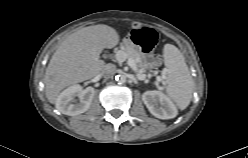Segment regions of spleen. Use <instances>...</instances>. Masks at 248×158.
I'll list each match as a JSON object with an SVG mask.
<instances>
[{"label":"spleen","mask_w":248,"mask_h":158,"mask_svg":"<svg viewBox=\"0 0 248 158\" xmlns=\"http://www.w3.org/2000/svg\"><path fill=\"white\" fill-rule=\"evenodd\" d=\"M167 74V95L184 110L191 102L194 81L190 75L183 54L177 47L166 44L163 51Z\"/></svg>","instance_id":"3e777b00"}]
</instances>
